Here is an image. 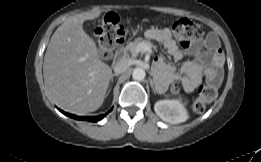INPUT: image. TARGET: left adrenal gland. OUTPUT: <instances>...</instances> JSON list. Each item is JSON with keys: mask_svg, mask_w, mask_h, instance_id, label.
I'll list each match as a JSON object with an SVG mask.
<instances>
[{"mask_svg": "<svg viewBox=\"0 0 261 162\" xmlns=\"http://www.w3.org/2000/svg\"><path fill=\"white\" fill-rule=\"evenodd\" d=\"M150 84H151V87H152L153 91H155L152 80L150 81Z\"/></svg>", "mask_w": 261, "mask_h": 162, "instance_id": "1", "label": "left adrenal gland"}]
</instances>
